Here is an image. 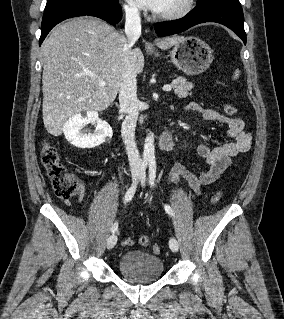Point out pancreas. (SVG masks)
Here are the masks:
<instances>
[{
	"instance_id": "pancreas-1",
	"label": "pancreas",
	"mask_w": 284,
	"mask_h": 319,
	"mask_svg": "<svg viewBox=\"0 0 284 319\" xmlns=\"http://www.w3.org/2000/svg\"><path fill=\"white\" fill-rule=\"evenodd\" d=\"M175 94L180 98H185L189 95V91L192 89L193 84L188 82L184 77H177L173 84Z\"/></svg>"
}]
</instances>
